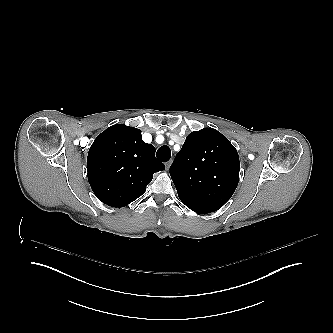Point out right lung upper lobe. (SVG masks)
Instances as JSON below:
<instances>
[{"instance_id": "right-lung-upper-lobe-1", "label": "right lung upper lobe", "mask_w": 333, "mask_h": 333, "mask_svg": "<svg viewBox=\"0 0 333 333\" xmlns=\"http://www.w3.org/2000/svg\"><path fill=\"white\" fill-rule=\"evenodd\" d=\"M164 169L155 158V147L142 140L141 131L123 124L98 135L87 157L91 188L112 207L126 206L140 197L153 174Z\"/></svg>"}]
</instances>
